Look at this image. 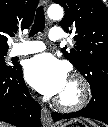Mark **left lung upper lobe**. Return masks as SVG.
I'll return each instance as SVG.
<instances>
[{
	"instance_id": "1",
	"label": "left lung upper lobe",
	"mask_w": 108,
	"mask_h": 127,
	"mask_svg": "<svg viewBox=\"0 0 108 127\" xmlns=\"http://www.w3.org/2000/svg\"><path fill=\"white\" fill-rule=\"evenodd\" d=\"M63 6L60 25L74 33V48L63 55L87 79L91 90L108 88V8L100 0H53Z\"/></svg>"
}]
</instances>
